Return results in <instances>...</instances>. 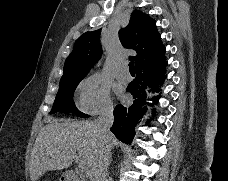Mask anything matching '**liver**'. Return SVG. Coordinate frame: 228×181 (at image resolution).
I'll list each match as a JSON object with an SVG mask.
<instances>
[{
    "mask_svg": "<svg viewBox=\"0 0 228 181\" xmlns=\"http://www.w3.org/2000/svg\"><path fill=\"white\" fill-rule=\"evenodd\" d=\"M48 123L38 133L30 153V181H39L46 171L68 169L74 157H80L90 169L92 157L101 145L111 149L119 145L112 133L102 139L93 129L94 121L49 119Z\"/></svg>",
    "mask_w": 228,
    "mask_h": 181,
    "instance_id": "obj_1",
    "label": "liver"
}]
</instances>
